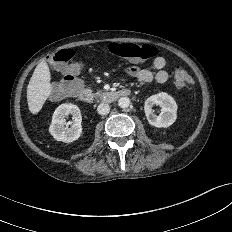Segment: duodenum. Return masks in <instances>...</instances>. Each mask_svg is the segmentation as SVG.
Returning <instances> with one entry per match:
<instances>
[{
    "label": "duodenum",
    "mask_w": 232,
    "mask_h": 232,
    "mask_svg": "<svg viewBox=\"0 0 232 232\" xmlns=\"http://www.w3.org/2000/svg\"><path fill=\"white\" fill-rule=\"evenodd\" d=\"M130 95V91L127 89L120 91H107L100 95L99 99L104 103H112L119 99L120 97ZM78 98L84 103H92L95 100V96L88 89H80L78 92Z\"/></svg>",
    "instance_id": "obj_1"
}]
</instances>
